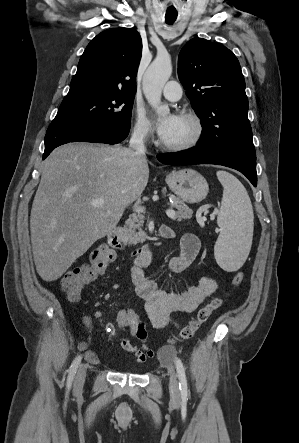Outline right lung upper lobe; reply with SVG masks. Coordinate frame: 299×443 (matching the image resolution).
<instances>
[{
	"label": "right lung upper lobe",
	"mask_w": 299,
	"mask_h": 443,
	"mask_svg": "<svg viewBox=\"0 0 299 443\" xmlns=\"http://www.w3.org/2000/svg\"><path fill=\"white\" fill-rule=\"evenodd\" d=\"M142 40L131 28H110L86 47L70 88H98L135 95Z\"/></svg>",
	"instance_id": "right-lung-upper-lobe-1"
}]
</instances>
